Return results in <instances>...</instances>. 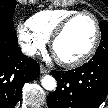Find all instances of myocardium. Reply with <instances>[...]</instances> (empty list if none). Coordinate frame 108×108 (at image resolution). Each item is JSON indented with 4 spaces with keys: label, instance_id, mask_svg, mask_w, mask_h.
<instances>
[{
    "label": "myocardium",
    "instance_id": "1",
    "mask_svg": "<svg viewBox=\"0 0 108 108\" xmlns=\"http://www.w3.org/2000/svg\"><path fill=\"white\" fill-rule=\"evenodd\" d=\"M82 16H88L93 20L94 25H95L94 40L91 46L89 47V49L83 55H81L80 57L76 59L64 60V59L57 58V61L59 62V64H61L64 67L74 68V67H78L86 63L94 55L99 45L100 38H101V28H100V23H99L98 18L89 11H79V12L72 14L68 18H66L52 34L50 38V48L52 52L54 53V47H55L56 42L66 32V30L71 25V23L75 21L77 18L82 17Z\"/></svg>",
    "mask_w": 108,
    "mask_h": 108
}]
</instances>
